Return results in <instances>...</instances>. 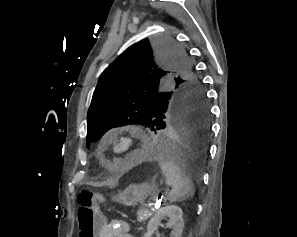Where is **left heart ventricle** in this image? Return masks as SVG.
Listing matches in <instances>:
<instances>
[{"instance_id":"b2bd125f","label":"left heart ventricle","mask_w":297,"mask_h":237,"mask_svg":"<svg viewBox=\"0 0 297 237\" xmlns=\"http://www.w3.org/2000/svg\"><path fill=\"white\" fill-rule=\"evenodd\" d=\"M117 149H118V150H120V149H121V147H120V146H118V147H117Z\"/></svg>"}]
</instances>
